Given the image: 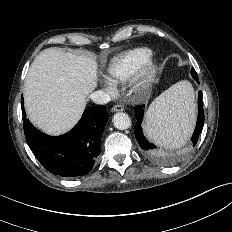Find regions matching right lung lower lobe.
Segmentation results:
<instances>
[{"label":"right lung lower lobe","mask_w":232,"mask_h":232,"mask_svg":"<svg viewBox=\"0 0 232 232\" xmlns=\"http://www.w3.org/2000/svg\"><path fill=\"white\" fill-rule=\"evenodd\" d=\"M23 105V97L21 98ZM24 116L26 141L51 173L63 177L84 176L92 169L100 154V140L109 114L105 106L86 109L78 124L65 135L51 137L37 130Z\"/></svg>","instance_id":"1"}]
</instances>
